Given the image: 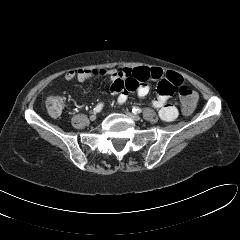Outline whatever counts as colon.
I'll return each instance as SVG.
<instances>
[{"label": "colon", "mask_w": 240, "mask_h": 240, "mask_svg": "<svg viewBox=\"0 0 240 240\" xmlns=\"http://www.w3.org/2000/svg\"><path fill=\"white\" fill-rule=\"evenodd\" d=\"M179 96L184 113H191L197 105V94L185 85L179 86ZM47 112L51 116H58L62 112L64 106V97L57 94H49L45 99Z\"/></svg>", "instance_id": "colon-1"}]
</instances>
